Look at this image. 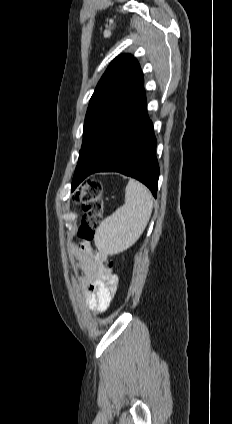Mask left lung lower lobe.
Segmentation results:
<instances>
[{
    "mask_svg": "<svg viewBox=\"0 0 232 424\" xmlns=\"http://www.w3.org/2000/svg\"><path fill=\"white\" fill-rule=\"evenodd\" d=\"M156 145L142 86L95 139L82 170L74 174L71 190L92 173L116 171L138 179L156 197Z\"/></svg>",
    "mask_w": 232,
    "mask_h": 424,
    "instance_id": "0a47b994",
    "label": "left lung lower lobe"
}]
</instances>
